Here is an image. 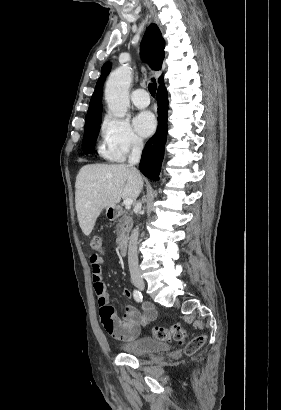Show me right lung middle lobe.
<instances>
[{
  "label": "right lung middle lobe",
  "instance_id": "dd1d6c3e",
  "mask_svg": "<svg viewBox=\"0 0 281 410\" xmlns=\"http://www.w3.org/2000/svg\"><path fill=\"white\" fill-rule=\"evenodd\" d=\"M100 124L101 116L85 122V132L82 144L85 154L92 152L100 130Z\"/></svg>",
  "mask_w": 281,
  "mask_h": 410
}]
</instances>
